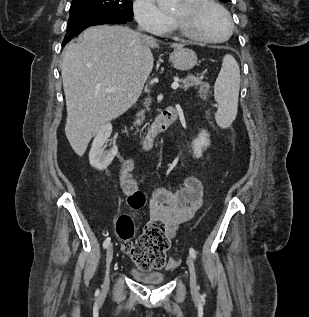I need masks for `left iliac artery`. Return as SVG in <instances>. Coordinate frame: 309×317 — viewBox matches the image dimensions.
<instances>
[{
	"instance_id": "1",
	"label": "left iliac artery",
	"mask_w": 309,
	"mask_h": 317,
	"mask_svg": "<svg viewBox=\"0 0 309 317\" xmlns=\"http://www.w3.org/2000/svg\"><path fill=\"white\" fill-rule=\"evenodd\" d=\"M189 253H190V256L193 258V259H196V251L194 248H190L189 249Z\"/></svg>"
}]
</instances>
